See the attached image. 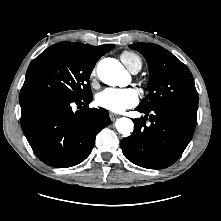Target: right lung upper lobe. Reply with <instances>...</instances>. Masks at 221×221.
Segmentation results:
<instances>
[{"instance_id":"right-lung-upper-lobe-1","label":"right lung upper lobe","mask_w":221,"mask_h":221,"mask_svg":"<svg viewBox=\"0 0 221 221\" xmlns=\"http://www.w3.org/2000/svg\"><path fill=\"white\" fill-rule=\"evenodd\" d=\"M56 45H64L73 47L75 49L80 50L82 53H84L88 58L98 61L101 56H103L105 53L109 52L114 48V45L107 44V45H101V46H92L88 44H82V43H72V42H61L57 43Z\"/></svg>"}]
</instances>
